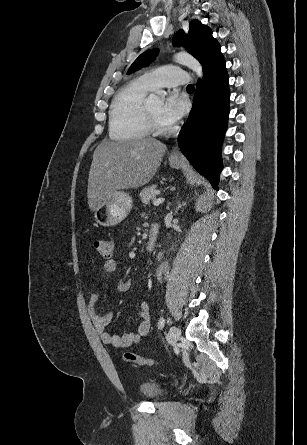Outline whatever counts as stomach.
<instances>
[{"instance_id":"obj_1","label":"stomach","mask_w":307,"mask_h":445,"mask_svg":"<svg viewBox=\"0 0 307 445\" xmlns=\"http://www.w3.org/2000/svg\"><path fill=\"white\" fill-rule=\"evenodd\" d=\"M180 164L181 162H172L170 160V166H174V168H180ZM132 202V196L128 192L116 190V192L110 194L107 200H103L101 206L95 210L94 218L96 223L102 225V227H115L129 214Z\"/></svg>"}]
</instances>
